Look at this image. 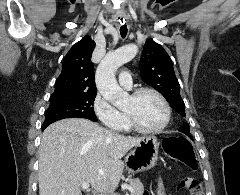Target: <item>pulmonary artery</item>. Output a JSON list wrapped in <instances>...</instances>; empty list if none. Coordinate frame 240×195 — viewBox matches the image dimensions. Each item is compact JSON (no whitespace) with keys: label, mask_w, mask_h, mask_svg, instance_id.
I'll list each match as a JSON object with an SVG mask.
<instances>
[{"label":"pulmonary artery","mask_w":240,"mask_h":195,"mask_svg":"<svg viewBox=\"0 0 240 195\" xmlns=\"http://www.w3.org/2000/svg\"><path fill=\"white\" fill-rule=\"evenodd\" d=\"M119 83L124 88L131 89L133 81H132V78L130 77V74H129L128 71H123L122 72V75L119 76Z\"/></svg>","instance_id":"pulmonary-artery-1"}]
</instances>
